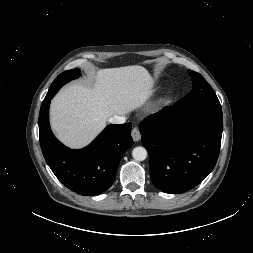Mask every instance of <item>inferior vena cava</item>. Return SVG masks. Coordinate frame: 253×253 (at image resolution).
Returning a JSON list of instances; mask_svg holds the SVG:
<instances>
[{"instance_id":"1","label":"inferior vena cava","mask_w":253,"mask_h":253,"mask_svg":"<svg viewBox=\"0 0 253 253\" xmlns=\"http://www.w3.org/2000/svg\"><path fill=\"white\" fill-rule=\"evenodd\" d=\"M125 120L126 118L124 116L114 115L109 119V122L112 124H123Z\"/></svg>"}]
</instances>
